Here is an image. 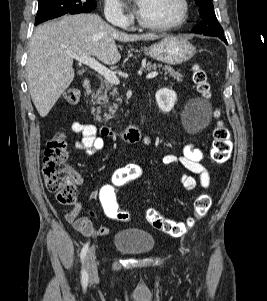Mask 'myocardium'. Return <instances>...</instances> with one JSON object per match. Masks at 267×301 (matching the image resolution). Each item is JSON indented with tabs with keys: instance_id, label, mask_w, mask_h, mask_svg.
Returning a JSON list of instances; mask_svg holds the SVG:
<instances>
[{
	"instance_id": "1",
	"label": "myocardium",
	"mask_w": 267,
	"mask_h": 301,
	"mask_svg": "<svg viewBox=\"0 0 267 301\" xmlns=\"http://www.w3.org/2000/svg\"><path fill=\"white\" fill-rule=\"evenodd\" d=\"M179 2L181 5V13H180L179 18L176 21L168 23V24H152V23L145 21L138 15V17H137L138 24L145 29H149V30H153V31H170V30H174V29L180 27L181 25H183L186 22V20L188 18L189 5H188L187 0H179Z\"/></svg>"
}]
</instances>
